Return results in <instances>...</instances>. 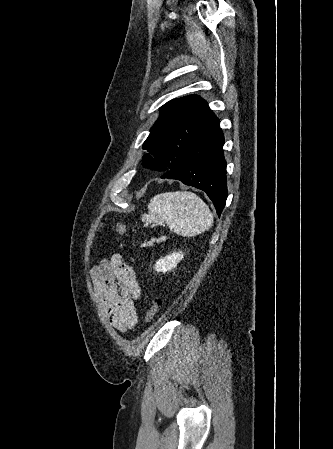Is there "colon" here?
<instances>
[{
	"mask_svg": "<svg viewBox=\"0 0 333 449\" xmlns=\"http://www.w3.org/2000/svg\"><path fill=\"white\" fill-rule=\"evenodd\" d=\"M115 230L119 235H122V236L126 235V233H127L126 225H124L121 222L116 223ZM160 305H161V300H159V299L152 300L149 308L147 309L146 315H145V321L147 323L154 321V319L156 318V316L158 314Z\"/></svg>",
	"mask_w": 333,
	"mask_h": 449,
	"instance_id": "1",
	"label": "colon"
}]
</instances>
